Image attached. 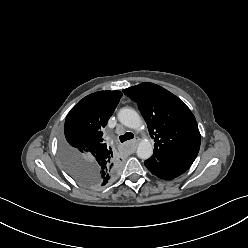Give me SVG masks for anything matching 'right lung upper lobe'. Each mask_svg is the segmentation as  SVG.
<instances>
[{"instance_id":"cb5924a9","label":"right lung upper lobe","mask_w":248,"mask_h":248,"mask_svg":"<svg viewBox=\"0 0 248 248\" xmlns=\"http://www.w3.org/2000/svg\"><path fill=\"white\" fill-rule=\"evenodd\" d=\"M122 97L120 91H99L80 100L68 113L64 133L66 141L61 159L79 157L93 174L92 187L113 181L119 171V159L104 142L103 128ZM69 158V159H68Z\"/></svg>"}]
</instances>
